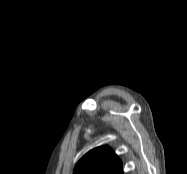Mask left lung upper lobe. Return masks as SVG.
Returning <instances> with one entry per match:
<instances>
[{"label":"left lung upper lobe","mask_w":187,"mask_h":174,"mask_svg":"<svg viewBox=\"0 0 187 174\" xmlns=\"http://www.w3.org/2000/svg\"><path fill=\"white\" fill-rule=\"evenodd\" d=\"M74 174H123L122 162L111 148L97 147L78 161Z\"/></svg>","instance_id":"obj_1"}]
</instances>
